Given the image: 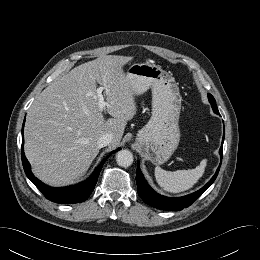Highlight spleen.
Segmentation results:
<instances>
[{"mask_svg":"<svg viewBox=\"0 0 260 260\" xmlns=\"http://www.w3.org/2000/svg\"><path fill=\"white\" fill-rule=\"evenodd\" d=\"M207 165L203 159L200 165L194 169L166 171L161 167L155 168V178L160 187L171 193H179L188 190L202 177Z\"/></svg>","mask_w":260,"mask_h":260,"instance_id":"1","label":"spleen"}]
</instances>
